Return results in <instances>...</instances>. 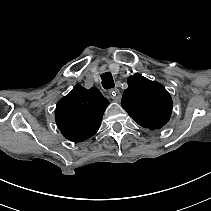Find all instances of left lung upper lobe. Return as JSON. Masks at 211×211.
Instances as JSON below:
<instances>
[{
  "instance_id": "5c2ea615",
  "label": "left lung upper lobe",
  "mask_w": 211,
  "mask_h": 211,
  "mask_svg": "<svg viewBox=\"0 0 211 211\" xmlns=\"http://www.w3.org/2000/svg\"><path fill=\"white\" fill-rule=\"evenodd\" d=\"M127 82L122 107L144 128L154 130L163 127L169 121L173 108L172 98L165 87L140 74L128 77Z\"/></svg>"
}]
</instances>
